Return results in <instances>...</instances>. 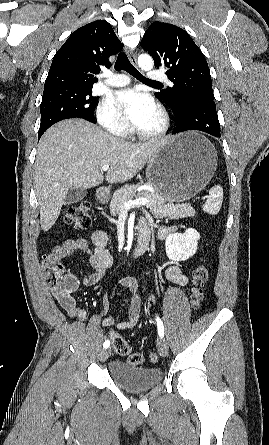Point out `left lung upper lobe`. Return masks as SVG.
Instances as JSON below:
<instances>
[{
	"mask_svg": "<svg viewBox=\"0 0 269 445\" xmlns=\"http://www.w3.org/2000/svg\"><path fill=\"white\" fill-rule=\"evenodd\" d=\"M141 46L154 59L157 68H167L173 87L157 92L173 111L181 115L182 102L193 96L214 99L207 61L183 29L160 21L153 22L141 40Z\"/></svg>",
	"mask_w": 269,
	"mask_h": 445,
	"instance_id": "5c2ea615",
	"label": "left lung upper lobe"
}]
</instances>
